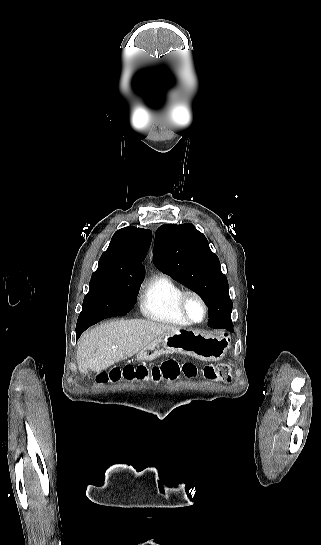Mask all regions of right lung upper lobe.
Here are the masks:
<instances>
[{
	"mask_svg": "<svg viewBox=\"0 0 321 545\" xmlns=\"http://www.w3.org/2000/svg\"><path fill=\"white\" fill-rule=\"evenodd\" d=\"M152 240V232L137 227H125L115 232L102 254L95 273L107 274L122 282L143 281L141 265Z\"/></svg>",
	"mask_w": 321,
	"mask_h": 545,
	"instance_id": "obj_1",
	"label": "right lung upper lobe"
}]
</instances>
